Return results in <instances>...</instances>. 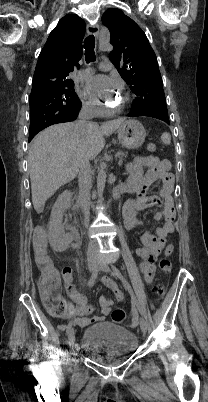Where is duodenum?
I'll return each instance as SVG.
<instances>
[{
	"label": "duodenum",
	"mask_w": 208,
	"mask_h": 402,
	"mask_svg": "<svg viewBox=\"0 0 208 402\" xmlns=\"http://www.w3.org/2000/svg\"><path fill=\"white\" fill-rule=\"evenodd\" d=\"M126 188L124 186H119L114 190V197L118 199L120 195L124 192H126Z\"/></svg>",
	"instance_id": "1"
}]
</instances>
